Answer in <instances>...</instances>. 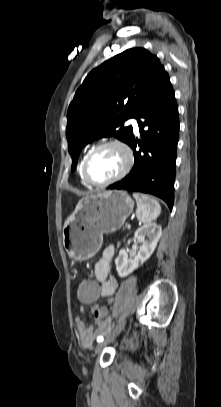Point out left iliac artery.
<instances>
[{"instance_id": "obj_1", "label": "left iliac artery", "mask_w": 221, "mask_h": 407, "mask_svg": "<svg viewBox=\"0 0 221 407\" xmlns=\"http://www.w3.org/2000/svg\"><path fill=\"white\" fill-rule=\"evenodd\" d=\"M110 331H111V329L109 328V329L106 331V333H105L104 335L109 334ZM97 341H98V342H102V341H103V336L98 337V338H97Z\"/></svg>"}]
</instances>
